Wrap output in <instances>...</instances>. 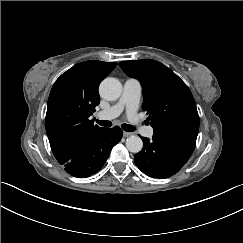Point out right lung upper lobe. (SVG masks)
Wrapping results in <instances>:
<instances>
[{
    "mask_svg": "<svg viewBox=\"0 0 243 243\" xmlns=\"http://www.w3.org/2000/svg\"><path fill=\"white\" fill-rule=\"evenodd\" d=\"M117 63L85 61L64 72L54 83L47 104L46 132L60 164L100 128L89 117L99 104L98 86Z\"/></svg>",
    "mask_w": 243,
    "mask_h": 243,
    "instance_id": "right-lung-upper-lobe-1",
    "label": "right lung upper lobe"
}]
</instances>
